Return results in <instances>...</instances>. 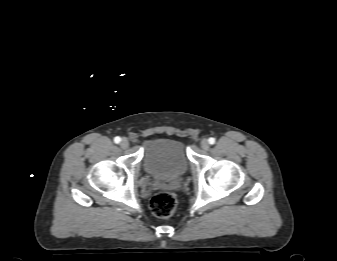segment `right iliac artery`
I'll return each instance as SVG.
<instances>
[{"label": "right iliac artery", "mask_w": 337, "mask_h": 261, "mask_svg": "<svg viewBox=\"0 0 337 261\" xmlns=\"http://www.w3.org/2000/svg\"><path fill=\"white\" fill-rule=\"evenodd\" d=\"M120 141H121V138L120 137H115L114 138V142L116 143V144H118V143H120Z\"/></svg>", "instance_id": "obj_1"}]
</instances>
